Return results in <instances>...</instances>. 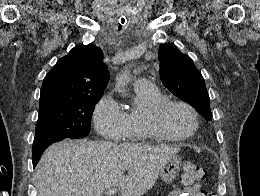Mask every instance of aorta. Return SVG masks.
I'll return each instance as SVG.
<instances>
[{"label": "aorta", "instance_id": "obj_1", "mask_svg": "<svg viewBox=\"0 0 260 196\" xmlns=\"http://www.w3.org/2000/svg\"><path fill=\"white\" fill-rule=\"evenodd\" d=\"M128 81V73L126 70L120 72L116 76L115 88L118 92H124V87Z\"/></svg>", "mask_w": 260, "mask_h": 196}]
</instances>
